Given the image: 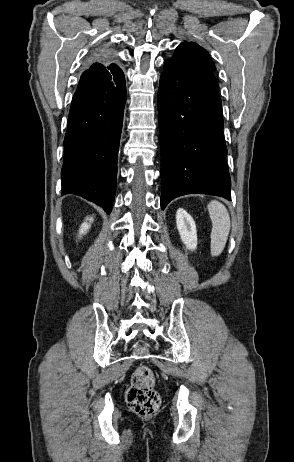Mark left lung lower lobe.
<instances>
[{
  "label": "left lung lower lobe",
  "instance_id": "1",
  "mask_svg": "<svg viewBox=\"0 0 294 462\" xmlns=\"http://www.w3.org/2000/svg\"><path fill=\"white\" fill-rule=\"evenodd\" d=\"M161 207L192 193L231 200L222 103L213 72L169 59L158 91Z\"/></svg>",
  "mask_w": 294,
  "mask_h": 462
}]
</instances>
